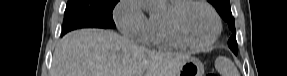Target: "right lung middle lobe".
<instances>
[{
	"instance_id": "dd1d6c3e",
	"label": "right lung middle lobe",
	"mask_w": 287,
	"mask_h": 76,
	"mask_svg": "<svg viewBox=\"0 0 287 76\" xmlns=\"http://www.w3.org/2000/svg\"><path fill=\"white\" fill-rule=\"evenodd\" d=\"M119 0H68L62 35L79 28H116L112 11Z\"/></svg>"
}]
</instances>
